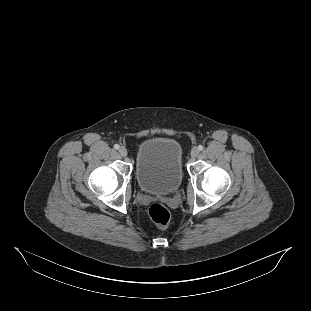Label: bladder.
<instances>
[{"label":"bladder","instance_id":"31cf9c89","mask_svg":"<svg viewBox=\"0 0 311 311\" xmlns=\"http://www.w3.org/2000/svg\"><path fill=\"white\" fill-rule=\"evenodd\" d=\"M135 175L140 189L149 194H170L183 181L182 148L170 137H152L138 147Z\"/></svg>","mask_w":311,"mask_h":311}]
</instances>
